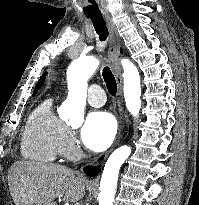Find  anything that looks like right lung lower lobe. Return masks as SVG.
<instances>
[{
  "label": "right lung lower lobe",
  "mask_w": 199,
  "mask_h": 205,
  "mask_svg": "<svg viewBox=\"0 0 199 205\" xmlns=\"http://www.w3.org/2000/svg\"><path fill=\"white\" fill-rule=\"evenodd\" d=\"M83 170L86 175L90 177H94V176H97V174L100 172V167L99 166H87Z\"/></svg>",
  "instance_id": "right-lung-lower-lobe-1"
}]
</instances>
